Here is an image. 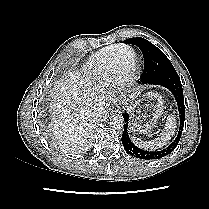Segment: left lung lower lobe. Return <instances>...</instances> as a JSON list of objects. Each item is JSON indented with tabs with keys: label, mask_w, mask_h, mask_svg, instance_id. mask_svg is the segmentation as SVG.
Returning <instances> with one entry per match:
<instances>
[{
	"label": "left lung lower lobe",
	"mask_w": 209,
	"mask_h": 209,
	"mask_svg": "<svg viewBox=\"0 0 209 209\" xmlns=\"http://www.w3.org/2000/svg\"><path fill=\"white\" fill-rule=\"evenodd\" d=\"M145 84L160 85L162 87L167 88L174 95L180 115V128L177 137L168 147L160 151H145L143 149H140L137 146H135L129 138L128 130H127L129 123V115L128 113H124L123 118L125 121V125L121 140L124 145V149L130 155L136 158L145 159V160L160 159L162 157L169 155L176 148V146L180 141V137L184 126V120H185L183 89L180 78L176 71H170L160 74Z\"/></svg>",
	"instance_id": "left-lung-lower-lobe-1"
}]
</instances>
